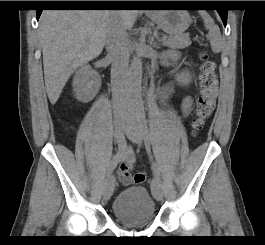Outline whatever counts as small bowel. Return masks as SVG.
<instances>
[{
    "mask_svg": "<svg viewBox=\"0 0 265 245\" xmlns=\"http://www.w3.org/2000/svg\"><path fill=\"white\" fill-rule=\"evenodd\" d=\"M175 90L173 84H167L160 90L161 100L166 103L174 95ZM193 106V99L190 96L182 98L180 102V108L184 116H187ZM121 163L115 169L119 181L123 185H129L132 181L131 170L135 163L134 152L131 147H124L121 153Z\"/></svg>",
    "mask_w": 265,
    "mask_h": 245,
    "instance_id": "obj_1",
    "label": "small bowel"
}]
</instances>
